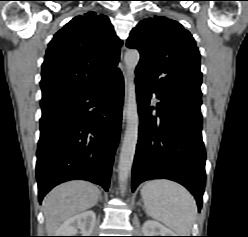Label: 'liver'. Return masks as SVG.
<instances>
[{
	"instance_id": "liver-1",
	"label": "liver",
	"mask_w": 248,
	"mask_h": 237,
	"mask_svg": "<svg viewBox=\"0 0 248 237\" xmlns=\"http://www.w3.org/2000/svg\"><path fill=\"white\" fill-rule=\"evenodd\" d=\"M100 196L97 186L85 181H71L54 188L43 200L46 230L56 234L62 222L93 207Z\"/></svg>"
}]
</instances>
